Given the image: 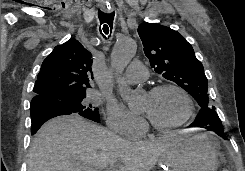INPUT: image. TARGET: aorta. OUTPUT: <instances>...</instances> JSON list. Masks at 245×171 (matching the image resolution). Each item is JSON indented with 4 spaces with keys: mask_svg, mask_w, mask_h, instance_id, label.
Returning <instances> with one entry per match:
<instances>
[{
    "mask_svg": "<svg viewBox=\"0 0 245 171\" xmlns=\"http://www.w3.org/2000/svg\"><path fill=\"white\" fill-rule=\"evenodd\" d=\"M134 39L123 37L116 41L110 56V63L116 73H121L131 62L136 53ZM120 96L127 102L131 110H138L142 102V93L128 87H119Z\"/></svg>",
    "mask_w": 245,
    "mask_h": 171,
    "instance_id": "1",
    "label": "aorta"
}]
</instances>
